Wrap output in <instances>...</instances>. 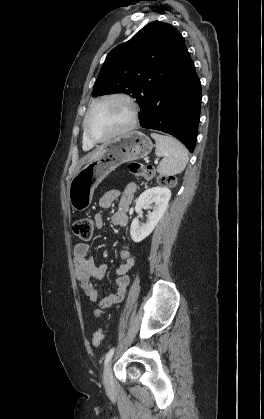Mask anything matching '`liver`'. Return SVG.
Here are the masks:
<instances>
[{"instance_id": "liver-1", "label": "liver", "mask_w": 264, "mask_h": 419, "mask_svg": "<svg viewBox=\"0 0 264 419\" xmlns=\"http://www.w3.org/2000/svg\"><path fill=\"white\" fill-rule=\"evenodd\" d=\"M101 148L102 147H100L98 150H96L93 153H91L90 155H88L85 159L88 160V161H90V160L96 158L98 156V154L100 153Z\"/></svg>"}]
</instances>
